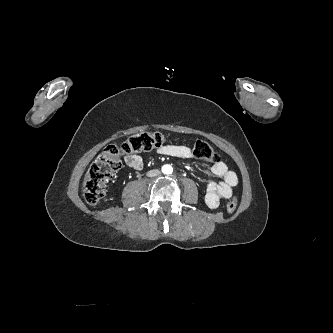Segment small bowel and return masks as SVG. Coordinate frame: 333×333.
I'll use <instances>...</instances> for the list:
<instances>
[{
	"label": "small bowel",
	"instance_id": "obj_1",
	"mask_svg": "<svg viewBox=\"0 0 333 333\" xmlns=\"http://www.w3.org/2000/svg\"><path fill=\"white\" fill-rule=\"evenodd\" d=\"M158 153L184 159L192 157L191 149L183 145H164L158 149ZM125 162L128 167L134 170H141L144 165L143 159L137 154L126 156ZM210 171L219 180L208 183L205 203L209 208L216 209L219 207L221 199L231 196L233 188L238 184V176L220 160L212 164Z\"/></svg>",
	"mask_w": 333,
	"mask_h": 333
}]
</instances>
